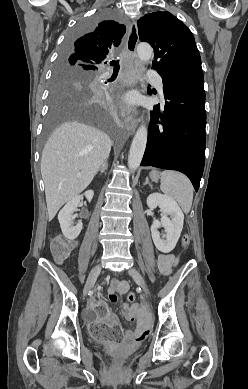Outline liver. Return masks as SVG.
Listing matches in <instances>:
<instances>
[{
  "label": "liver",
  "mask_w": 248,
  "mask_h": 389,
  "mask_svg": "<svg viewBox=\"0 0 248 389\" xmlns=\"http://www.w3.org/2000/svg\"><path fill=\"white\" fill-rule=\"evenodd\" d=\"M111 145L106 133L77 121L66 122L53 131L41 157L50 221L66 202L87 188L108 158Z\"/></svg>",
  "instance_id": "6515ba94"
}]
</instances>
